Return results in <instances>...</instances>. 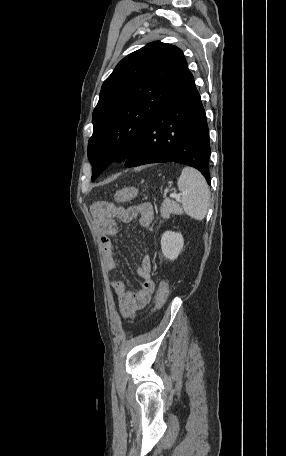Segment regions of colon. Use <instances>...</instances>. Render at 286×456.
Wrapping results in <instances>:
<instances>
[{"label":"colon","mask_w":286,"mask_h":456,"mask_svg":"<svg viewBox=\"0 0 286 456\" xmlns=\"http://www.w3.org/2000/svg\"><path fill=\"white\" fill-rule=\"evenodd\" d=\"M137 194H138V188H136V187L124 188V189L119 190L115 194V201H117V202L128 201V200L136 197ZM112 205H113L112 202L99 201V202H96L93 205V207L95 210H98V211H107V210L111 209ZM168 294H169L168 285L166 283H161V285L159 286L157 295H156V300H155L156 309L160 308L166 302V300L168 298Z\"/></svg>","instance_id":"1"}]
</instances>
